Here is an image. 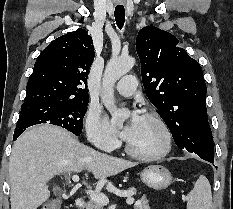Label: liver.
Segmentation results:
<instances>
[{
	"mask_svg": "<svg viewBox=\"0 0 233 209\" xmlns=\"http://www.w3.org/2000/svg\"><path fill=\"white\" fill-rule=\"evenodd\" d=\"M135 165L81 144L65 129L33 127L16 140L9 159L11 209H37L49 199L47 183L58 174L87 169L104 180Z\"/></svg>",
	"mask_w": 233,
	"mask_h": 209,
	"instance_id": "liver-1",
	"label": "liver"
}]
</instances>
